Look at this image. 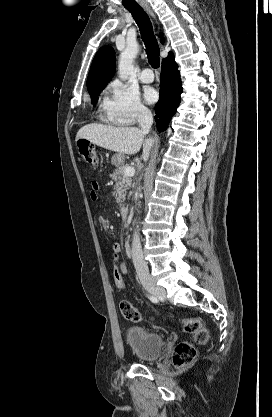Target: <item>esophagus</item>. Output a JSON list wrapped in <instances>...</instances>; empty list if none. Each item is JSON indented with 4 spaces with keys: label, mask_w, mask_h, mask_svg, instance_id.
<instances>
[{
    "label": "esophagus",
    "mask_w": 272,
    "mask_h": 417,
    "mask_svg": "<svg viewBox=\"0 0 272 417\" xmlns=\"http://www.w3.org/2000/svg\"><path fill=\"white\" fill-rule=\"evenodd\" d=\"M142 7L145 9V11L151 16V17H153V18H155V15H154V13H153V11L151 10V8L146 4V3H143L142 4Z\"/></svg>",
    "instance_id": "esophagus-1"
}]
</instances>
